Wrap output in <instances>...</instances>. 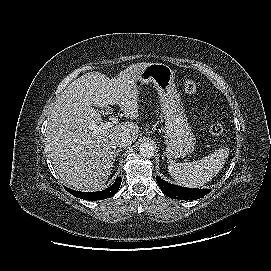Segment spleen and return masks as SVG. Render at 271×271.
I'll list each match as a JSON object with an SVG mask.
<instances>
[{
    "instance_id": "obj_1",
    "label": "spleen",
    "mask_w": 271,
    "mask_h": 271,
    "mask_svg": "<svg viewBox=\"0 0 271 271\" xmlns=\"http://www.w3.org/2000/svg\"><path fill=\"white\" fill-rule=\"evenodd\" d=\"M228 155V148H219L210 155L193 162L176 163L171 161L168 164V171L180 185L190 188L201 187L219 173Z\"/></svg>"
}]
</instances>
